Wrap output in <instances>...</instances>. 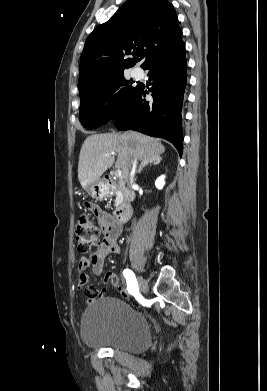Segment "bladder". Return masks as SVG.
<instances>
[{
  "label": "bladder",
  "instance_id": "obj_1",
  "mask_svg": "<svg viewBox=\"0 0 267 391\" xmlns=\"http://www.w3.org/2000/svg\"><path fill=\"white\" fill-rule=\"evenodd\" d=\"M80 336L89 347L110 348L131 354L146 350L152 337L147 319L116 297L99 299L86 308Z\"/></svg>",
  "mask_w": 267,
  "mask_h": 391
}]
</instances>
